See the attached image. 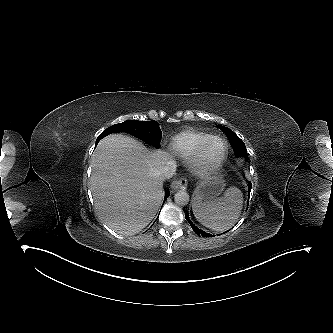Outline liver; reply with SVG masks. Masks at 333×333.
<instances>
[{
  "instance_id": "liver-1",
  "label": "liver",
  "mask_w": 333,
  "mask_h": 333,
  "mask_svg": "<svg viewBox=\"0 0 333 333\" xmlns=\"http://www.w3.org/2000/svg\"><path fill=\"white\" fill-rule=\"evenodd\" d=\"M170 158L122 134L99 142L91 157L90 184L95 209L109 228L134 235L152 221L163 199L159 169Z\"/></svg>"
}]
</instances>
